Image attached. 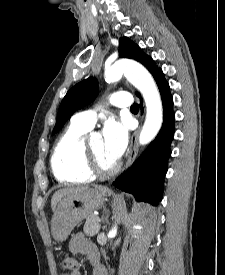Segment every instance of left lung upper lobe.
Instances as JSON below:
<instances>
[{
  "label": "left lung upper lobe",
  "instance_id": "left-lung-upper-lobe-1",
  "mask_svg": "<svg viewBox=\"0 0 225 275\" xmlns=\"http://www.w3.org/2000/svg\"><path fill=\"white\" fill-rule=\"evenodd\" d=\"M119 56L134 59L142 63L150 71L153 77L160 70L157 68L152 58L143 53L141 49L127 37H122L120 39ZM97 89V80L90 77L76 84L67 92L60 104L53 134L61 129L75 111L83 108L94 100ZM136 95H139V93L136 92Z\"/></svg>",
  "mask_w": 225,
  "mask_h": 275
}]
</instances>
